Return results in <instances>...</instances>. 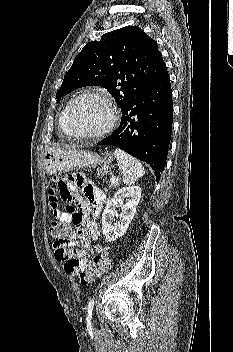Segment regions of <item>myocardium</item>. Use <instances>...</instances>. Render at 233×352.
Wrapping results in <instances>:
<instances>
[{"label": "myocardium", "mask_w": 233, "mask_h": 352, "mask_svg": "<svg viewBox=\"0 0 233 352\" xmlns=\"http://www.w3.org/2000/svg\"><path fill=\"white\" fill-rule=\"evenodd\" d=\"M85 98H95L98 100H101L104 102L110 109L111 117L109 122L99 131H96L94 133H77L73 130L72 128V123H71V115L72 111L75 107V105L81 101L82 99ZM119 118V113L116 105L114 102L107 97L104 94L98 93V92H85L77 97H75L69 104V107L67 109V114H66V125L69 131V134L71 137L77 138V139H84V140H90V139H98L101 138L105 135H107L109 132H111L114 127L116 126Z\"/></svg>", "instance_id": "1"}]
</instances>
